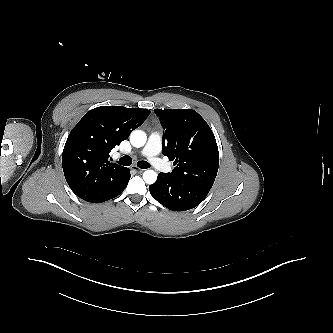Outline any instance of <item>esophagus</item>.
<instances>
[{
    "label": "esophagus",
    "instance_id": "esophagus-1",
    "mask_svg": "<svg viewBox=\"0 0 333 333\" xmlns=\"http://www.w3.org/2000/svg\"><path fill=\"white\" fill-rule=\"evenodd\" d=\"M132 169L140 173L144 171V169L138 168L136 165H133Z\"/></svg>",
    "mask_w": 333,
    "mask_h": 333
}]
</instances>
